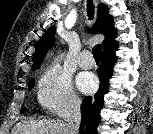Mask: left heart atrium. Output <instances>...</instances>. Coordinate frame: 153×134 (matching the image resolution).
<instances>
[{
    "label": "left heart atrium",
    "mask_w": 153,
    "mask_h": 134,
    "mask_svg": "<svg viewBox=\"0 0 153 134\" xmlns=\"http://www.w3.org/2000/svg\"><path fill=\"white\" fill-rule=\"evenodd\" d=\"M78 86L84 93L93 92L97 87V79L91 73H82L77 80Z\"/></svg>",
    "instance_id": "39dd6f15"
}]
</instances>
